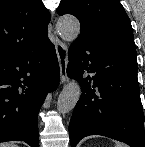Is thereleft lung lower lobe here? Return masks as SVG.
<instances>
[{
	"label": "left lung lower lobe",
	"mask_w": 145,
	"mask_h": 147,
	"mask_svg": "<svg viewBox=\"0 0 145 147\" xmlns=\"http://www.w3.org/2000/svg\"><path fill=\"white\" fill-rule=\"evenodd\" d=\"M68 58L67 74L82 90L69 124L71 147L89 135L145 147L135 45L80 36L71 44ZM85 71L93 76L83 78Z\"/></svg>",
	"instance_id": "left-lung-lower-lobe-1"
}]
</instances>
